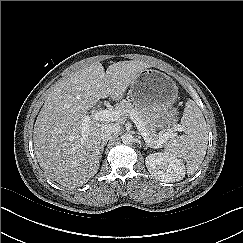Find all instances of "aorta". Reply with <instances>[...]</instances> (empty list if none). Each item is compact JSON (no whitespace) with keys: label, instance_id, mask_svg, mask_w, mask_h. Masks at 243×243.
<instances>
[{"label":"aorta","instance_id":"aorta-1","mask_svg":"<svg viewBox=\"0 0 243 243\" xmlns=\"http://www.w3.org/2000/svg\"><path fill=\"white\" fill-rule=\"evenodd\" d=\"M122 142L126 145L132 144L134 142V137L131 134H124L122 136Z\"/></svg>","mask_w":243,"mask_h":243}]
</instances>
